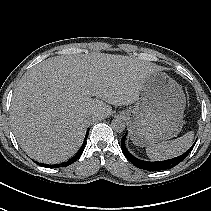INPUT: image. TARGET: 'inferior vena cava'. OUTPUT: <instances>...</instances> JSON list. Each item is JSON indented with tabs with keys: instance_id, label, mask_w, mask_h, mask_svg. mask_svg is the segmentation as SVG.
<instances>
[{
	"instance_id": "inferior-vena-cava-1",
	"label": "inferior vena cava",
	"mask_w": 211,
	"mask_h": 211,
	"mask_svg": "<svg viewBox=\"0 0 211 211\" xmlns=\"http://www.w3.org/2000/svg\"><path fill=\"white\" fill-rule=\"evenodd\" d=\"M91 119H92V120H95V117H92Z\"/></svg>"
}]
</instances>
